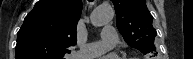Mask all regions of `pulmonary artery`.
<instances>
[{
    "label": "pulmonary artery",
    "mask_w": 193,
    "mask_h": 59,
    "mask_svg": "<svg viewBox=\"0 0 193 59\" xmlns=\"http://www.w3.org/2000/svg\"><path fill=\"white\" fill-rule=\"evenodd\" d=\"M119 41V37L113 27L105 26L102 29V40L87 44L77 51V59H91L101 55L109 47L114 46Z\"/></svg>",
    "instance_id": "e3ab8cb5"
}]
</instances>
